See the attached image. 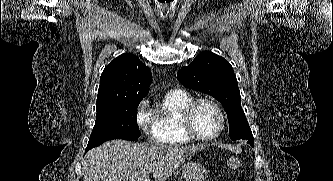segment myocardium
I'll return each mask as SVG.
<instances>
[{"label":"myocardium","instance_id":"obj_1","mask_svg":"<svg viewBox=\"0 0 333 181\" xmlns=\"http://www.w3.org/2000/svg\"><path fill=\"white\" fill-rule=\"evenodd\" d=\"M201 103H207V104L213 106L215 108V110L217 111L218 116L220 118L219 129L217 130V132L215 134H213L211 136H201L200 134H198V132L196 131V129L194 127L193 116H194L196 108ZM182 123H183V128H184L185 133L193 140L211 141V140L218 138L222 134V132L225 128L226 120H225L224 111H223L221 105L216 100L209 98V97H200V98L192 99L186 105V107L184 108L183 113H182Z\"/></svg>","mask_w":333,"mask_h":181}]
</instances>
